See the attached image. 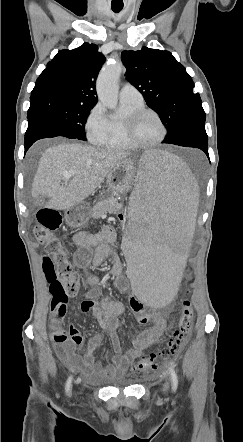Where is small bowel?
<instances>
[{"instance_id": "c3829d8e", "label": "small bowel", "mask_w": 243, "mask_h": 442, "mask_svg": "<svg viewBox=\"0 0 243 442\" xmlns=\"http://www.w3.org/2000/svg\"><path fill=\"white\" fill-rule=\"evenodd\" d=\"M116 238V232L111 225H105L99 232L90 233L79 231L73 236V243L77 247L73 259L77 267L88 266L99 267L108 258L112 259L111 273L115 280V286L120 292L129 291L130 283L123 274L122 265L114 253L111 244ZM94 286L85 292V300L80 305L83 313L91 312L100 323L103 332L92 336L88 343L86 352L81 355L76 351L77 347L83 344V336L80 330L73 324L68 330L64 328V316L66 306L52 308L50 328L53 338L56 334L65 337L64 340H54L60 348V352L67 363L75 369L81 370L84 377L93 382L106 381L121 374H124L129 366L135 361L144 350L155 345L167 328L166 314L153 311L151 315L144 314L143 304L134 297L131 298V308L137 314L138 322L141 324L152 321V326L142 331L132 339V347L125 352L122 351L116 330L119 328L118 318L125 312V305L122 302L108 299L102 295L100 288L96 286L98 280L89 278ZM111 341L114 355L108 357L106 365H99L95 362L94 350L104 338Z\"/></svg>"}]
</instances>
